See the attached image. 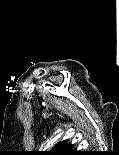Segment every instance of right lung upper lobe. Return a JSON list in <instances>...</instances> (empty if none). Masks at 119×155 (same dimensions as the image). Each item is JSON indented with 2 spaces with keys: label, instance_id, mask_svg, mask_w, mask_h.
<instances>
[{
  "label": "right lung upper lobe",
  "instance_id": "obj_1",
  "mask_svg": "<svg viewBox=\"0 0 119 155\" xmlns=\"http://www.w3.org/2000/svg\"><path fill=\"white\" fill-rule=\"evenodd\" d=\"M72 144L66 143V141L58 143L52 150L45 151L43 155H66L70 149H72Z\"/></svg>",
  "mask_w": 119,
  "mask_h": 155
}]
</instances>
